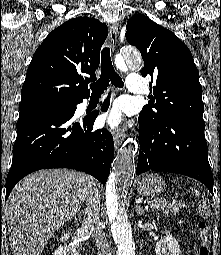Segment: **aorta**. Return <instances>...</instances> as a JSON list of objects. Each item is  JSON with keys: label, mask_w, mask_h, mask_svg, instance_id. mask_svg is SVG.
<instances>
[{"label": "aorta", "mask_w": 221, "mask_h": 255, "mask_svg": "<svg viewBox=\"0 0 221 255\" xmlns=\"http://www.w3.org/2000/svg\"><path fill=\"white\" fill-rule=\"evenodd\" d=\"M116 63L120 68L142 67L140 54L133 48H125L116 57ZM124 146L116 158L115 169L106 183V207L112 236L118 246V255H135V243L124 202L134 177L138 149L137 145L131 141L126 142Z\"/></svg>", "instance_id": "aorta-1"}]
</instances>
